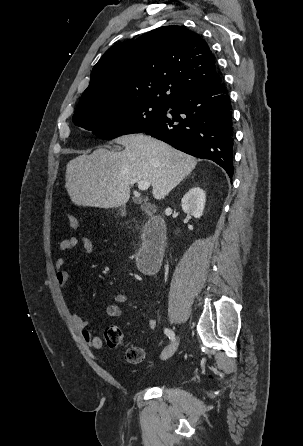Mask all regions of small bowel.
Returning a JSON list of instances; mask_svg holds the SVG:
<instances>
[{"label":"small bowel","instance_id":"obj_1","mask_svg":"<svg viewBox=\"0 0 303 446\" xmlns=\"http://www.w3.org/2000/svg\"><path fill=\"white\" fill-rule=\"evenodd\" d=\"M81 242L83 251L86 255H91L94 252V244L87 237H76L70 236L59 242V249L61 251H70L74 249L77 244ZM66 261L63 258H59L55 263V275L56 281L60 287L66 288L69 282V274L65 270ZM128 296L125 293H117L111 297L112 303L106 308V314L112 319H119L122 316V310L119 304L126 303ZM71 321L74 327L81 333L84 342L95 349H102L103 342L100 337L95 335L91 330L88 329L89 322L84 320L79 314L73 313L71 315ZM149 328L153 329L156 326V321L154 319H149Z\"/></svg>","mask_w":303,"mask_h":446}]
</instances>
